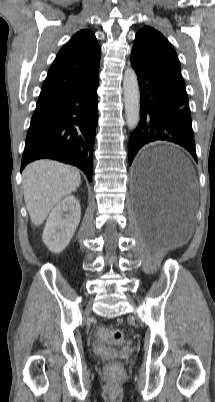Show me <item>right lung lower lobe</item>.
<instances>
[{"mask_svg": "<svg viewBox=\"0 0 215 402\" xmlns=\"http://www.w3.org/2000/svg\"><path fill=\"white\" fill-rule=\"evenodd\" d=\"M98 76L34 112L27 133L21 170L49 158L80 168L92 179V158L98 121Z\"/></svg>", "mask_w": 215, "mask_h": 402, "instance_id": "1", "label": "right lung lower lobe"}]
</instances>
